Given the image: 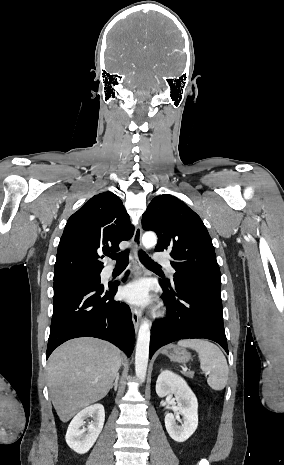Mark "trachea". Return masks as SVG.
Segmentation results:
<instances>
[{"instance_id":"obj_1","label":"trachea","mask_w":284,"mask_h":465,"mask_svg":"<svg viewBox=\"0 0 284 465\" xmlns=\"http://www.w3.org/2000/svg\"><path fill=\"white\" fill-rule=\"evenodd\" d=\"M110 258L116 260L117 265H127L128 264V251L122 253H116L109 255ZM139 258L141 262L146 265L148 268L159 269L161 270L160 265L154 262L145 252H139Z\"/></svg>"}]
</instances>
